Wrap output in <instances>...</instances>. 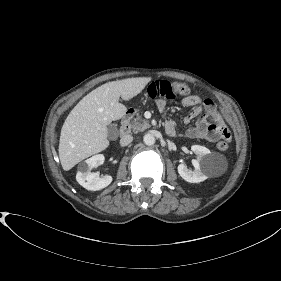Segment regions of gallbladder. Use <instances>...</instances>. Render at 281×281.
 Here are the masks:
<instances>
[{
  "mask_svg": "<svg viewBox=\"0 0 281 281\" xmlns=\"http://www.w3.org/2000/svg\"><path fill=\"white\" fill-rule=\"evenodd\" d=\"M108 133L111 136L115 135L117 133V128L115 126H113V125H110L108 127Z\"/></svg>",
  "mask_w": 281,
  "mask_h": 281,
  "instance_id": "gallbladder-1",
  "label": "gallbladder"
}]
</instances>
